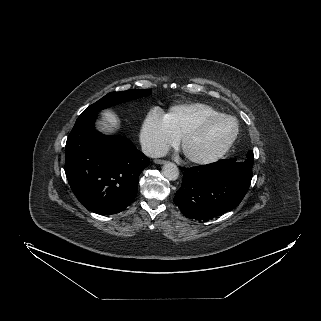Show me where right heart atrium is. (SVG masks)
<instances>
[{
  "mask_svg": "<svg viewBox=\"0 0 321 321\" xmlns=\"http://www.w3.org/2000/svg\"><path fill=\"white\" fill-rule=\"evenodd\" d=\"M140 141L148 155L157 156L174 145L177 139L167 129L160 110H154L147 115L142 124Z\"/></svg>",
  "mask_w": 321,
  "mask_h": 321,
  "instance_id": "right-heart-atrium-1",
  "label": "right heart atrium"
}]
</instances>
